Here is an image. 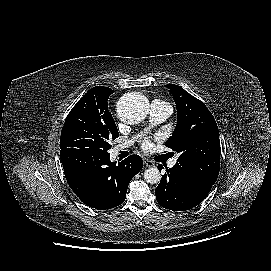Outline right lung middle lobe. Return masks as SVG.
<instances>
[{"label":"right lung middle lobe","mask_w":271,"mask_h":271,"mask_svg":"<svg viewBox=\"0 0 271 271\" xmlns=\"http://www.w3.org/2000/svg\"><path fill=\"white\" fill-rule=\"evenodd\" d=\"M113 90L96 86L90 89L69 112L60 138V149L108 153L110 141L118 129L108 110V98Z\"/></svg>","instance_id":"right-lung-middle-lobe-1"}]
</instances>
